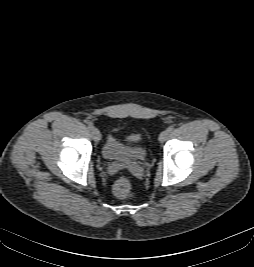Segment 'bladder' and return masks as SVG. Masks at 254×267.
Here are the masks:
<instances>
[{
	"label": "bladder",
	"mask_w": 254,
	"mask_h": 267,
	"mask_svg": "<svg viewBox=\"0 0 254 267\" xmlns=\"http://www.w3.org/2000/svg\"><path fill=\"white\" fill-rule=\"evenodd\" d=\"M102 155L107 160L130 161L143 159L146 151L141 146L125 145L114 134H110L103 145Z\"/></svg>",
	"instance_id": "bladder-1"
}]
</instances>
